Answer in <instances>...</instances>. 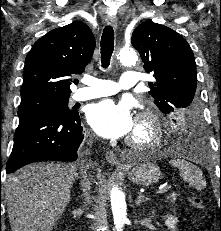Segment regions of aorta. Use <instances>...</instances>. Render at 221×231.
<instances>
[{"label":"aorta","instance_id":"1","mask_svg":"<svg viewBox=\"0 0 221 231\" xmlns=\"http://www.w3.org/2000/svg\"><path fill=\"white\" fill-rule=\"evenodd\" d=\"M116 59L123 65L131 66L136 64L138 58L134 49L123 48L117 53ZM110 199L116 231H123L127 221L125 195L118 187H113Z\"/></svg>","mask_w":221,"mask_h":231}]
</instances>
